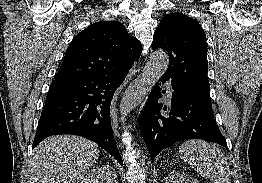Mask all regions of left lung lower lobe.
<instances>
[{
	"label": "left lung lower lobe",
	"mask_w": 262,
	"mask_h": 183,
	"mask_svg": "<svg viewBox=\"0 0 262 183\" xmlns=\"http://www.w3.org/2000/svg\"><path fill=\"white\" fill-rule=\"evenodd\" d=\"M169 79L171 77L164 74L159 82ZM171 84L174 92L170 112L160 113L162 104L158 103V99L165 91H161L157 83L139 116L140 131L152 161L160 151L185 139H203L228 149L214 119L210 95L192 91L173 79ZM164 110H167L166 106Z\"/></svg>",
	"instance_id": "0a47b994"
}]
</instances>
